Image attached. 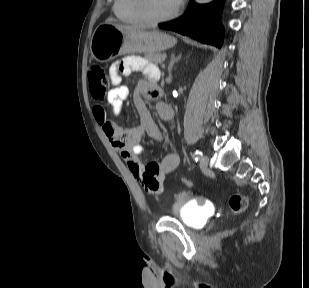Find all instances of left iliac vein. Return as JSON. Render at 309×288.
<instances>
[{"mask_svg":"<svg viewBox=\"0 0 309 288\" xmlns=\"http://www.w3.org/2000/svg\"><path fill=\"white\" fill-rule=\"evenodd\" d=\"M208 162H209V157L208 156H203L201 161H200V168L203 171L208 169Z\"/></svg>","mask_w":309,"mask_h":288,"instance_id":"left-iliac-vein-1","label":"left iliac vein"}]
</instances>
